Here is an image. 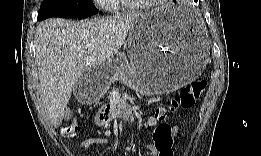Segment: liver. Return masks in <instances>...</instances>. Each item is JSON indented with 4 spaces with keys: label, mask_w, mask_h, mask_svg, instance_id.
Segmentation results:
<instances>
[{
    "label": "liver",
    "mask_w": 261,
    "mask_h": 156,
    "mask_svg": "<svg viewBox=\"0 0 261 156\" xmlns=\"http://www.w3.org/2000/svg\"><path fill=\"white\" fill-rule=\"evenodd\" d=\"M141 15L135 12L80 22L51 18L39 23L34 38L39 91L51 125H61L72 89L84 72L116 55Z\"/></svg>",
    "instance_id": "1"
}]
</instances>
